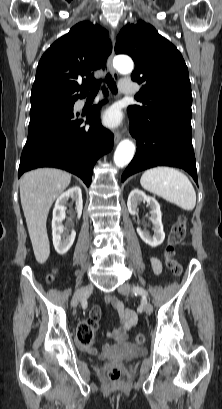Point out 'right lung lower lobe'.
I'll use <instances>...</instances> for the list:
<instances>
[{
  "label": "right lung lower lobe",
  "instance_id": "right-lung-lower-lobe-1",
  "mask_svg": "<svg viewBox=\"0 0 222 409\" xmlns=\"http://www.w3.org/2000/svg\"><path fill=\"white\" fill-rule=\"evenodd\" d=\"M73 105L57 106L30 120L18 177L38 167H56L79 176L90 185L94 164L112 149L114 136L100 123L99 105L89 111L88 127L77 118Z\"/></svg>",
  "mask_w": 222,
  "mask_h": 409
}]
</instances>
